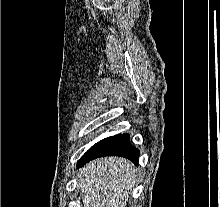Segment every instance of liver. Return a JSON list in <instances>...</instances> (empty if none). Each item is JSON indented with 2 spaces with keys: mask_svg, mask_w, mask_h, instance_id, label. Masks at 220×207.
I'll list each match as a JSON object with an SVG mask.
<instances>
[{
  "mask_svg": "<svg viewBox=\"0 0 220 207\" xmlns=\"http://www.w3.org/2000/svg\"><path fill=\"white\" fill-rule=\"evenodd\" d=\"M137 168L127 159L108 157L91 161L80 169L78 187L83 207H126L137 182Z\"/></svg>",
  "mask_w": 220,
  "mask_h": 207,
  "instance_id": "6515ba94",
  "label": "liver"
}]
</instances>
